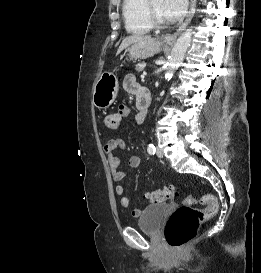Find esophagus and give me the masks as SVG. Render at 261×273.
Returning <instances> with one entry per match:
<instances>
[{
	"label": "esophagus",
	"instance_id": "obj_1",
	"mask_svg": "<svg viewBox=\"0 0 261 273\" xmlns=\"http://www.w3.org/2000/svg\"><path fill=\"white\" fill-rule=\"evenodd\" d=\"M195 7H196V0H191L190 2V10L189 13L187 15V18L185 20V22L177 29L176 32L172 33V34H166L164 36H162V41L167 44V45H173L177 39V37L180 35V33L188 26V24L190 23L194 13H195Z\"/></svg>",
	"mask_w": 261,
	"mask_h": 273
}]
</instances>
